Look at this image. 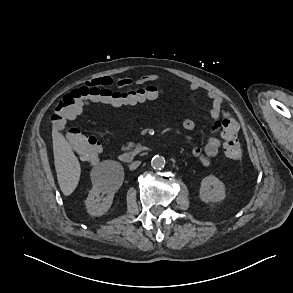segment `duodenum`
Here are the masks:
<instances>
[{"label":"duodenum","mask_w":293,"mask_h":293,"mask_svg":"<svg viewBox=\"0 0 293 293\" xmlns=\"http://www.w3.org/2000/svg\"><path fill=\"white\" fill-rule=\"evenodd\" d=\"M146 151H148V148L145 146H138L128 151H122L119 154V160L123 163H131L140 153Z\"/></svg>","instance_id":"obj_1"}]
</instances>
